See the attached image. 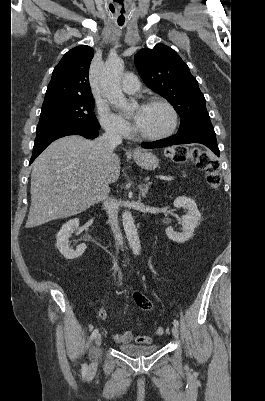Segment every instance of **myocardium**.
Returning a JSON list of instances; mask_svg holds the SVG:
<instances>
[{
    "instance_id": "obj_1",
    "label": "myocardium",
    "mask_w": 265,
    "mask_h": 401,
    "mask_svg": "<svg viewBox=\"0 0 265 401\" xmlns=\"http://www.w3.org/2000/svg\"><path fill=\"white\" fill-rule=\"evenodd\" d=\"M149 105H161L165 109H167V111L170 114V121H169V124L163 130H161L159 133L153 134V135H139V138L142 140L154 141V140L164 138L165 136H168L169 134H171L175 130V128L177 127V124H178V114H177V111L174 108V106L171 105L168 101H166L164 99H160V98H153V99L147 100L145 102L144 106H149Z\"/></svg>"
}]
</instances>
